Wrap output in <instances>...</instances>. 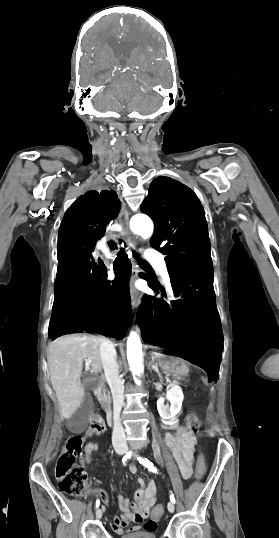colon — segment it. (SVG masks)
Listing matches in <instances>:
<instances>
[{
    "instance_id": "1",
    "label": "colon",
    "mask_w": 279,
    "mask_h": 538,
    "mask_svg": "<svg viewBox=\"0 0 279 538\" xmlns=\"http://www.w3.org/2000/svg\"><path fill=\"white\" fill-rule=\"evenodd\" d=\"M185 426L189 433H195L200 428V420L194 413H190L185 418ZM105 430L103 418L94 414L90 418L86 435H99ZM84 438L73 437L69 439L58 459L56 466V477L59 481L60 489L72 496L82 494L88 487V478L82 466L77 460L82 455ZM206 473V462L203 453L200 451L196 458V477L201 479ZM164 513V507L158 505L153 509L152 518L159 520Z\"/></svg>"
}]
</instances>
